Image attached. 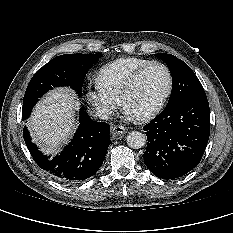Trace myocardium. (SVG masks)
<instances>
[{
	"mask_svg": "<svg viewBox=\"0 0 233 233\" xmlns=\"http://www.w3.org/2000/svg\"><path fill=\"white\" fill-rule=\"evenodd\" d=\"M153 66L162 67L166 71L167 76H168V87L166 89V92L162 96V98L159 100V102L153 108H151L149 111H147L143 114L133 116L135 120L140 121V122L147 121V120H150L153 117H155L162 110V108L164 107V105L168 101V99L173 91V86H174V77H173V74H172V71L170 70V68L166 64H164L162 62H158V61H152L150 63L143 65L138 70H136L134 72V74L130 77V79L125 84V86L120 94V103H121L122 108L125 110V102H126L128 95L134 89V87L138 83L139 79L141 78L142 74L147 69H149L150 67H153Z\"/></svg>",
	"mask_w": 233,
	"mask_h": 233,
	"instance_id": "1",
	"label": "myocardium"
}]
</instances>
